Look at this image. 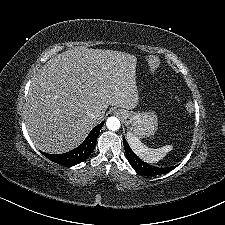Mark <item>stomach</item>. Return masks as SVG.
Wrapping results in <instances>:
<instances>
[{"mask_svg":"<svg viewBox=\"0 0 225 225\" xmlns=\"http://www.w3.org/2000/svg\"><path fill=\"white\" fill-rule=\"evenodd\" d=\"M130 133L138 138H145L153 135L157 130V116L154 112H133L125 109H118Z\"/></svg>","mask_w":225,"mask_h":225,"instance_id":"obj_1","label":"stomach"}]
</instances>
